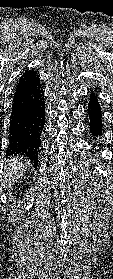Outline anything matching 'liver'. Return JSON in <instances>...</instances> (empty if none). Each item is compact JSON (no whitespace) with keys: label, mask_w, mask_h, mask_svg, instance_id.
<instances>
[{"label":"liver","mask_w":113,"mask_h":279,"mask_svg":"<svg viewBox=\"0 0 113 279\" xmlns=\"http://www.w3.org/2000/svg\"><path fill=\"white\" fill-rule=\"evenodd\" d=\"M27 159L13 157L6 161L3 175L0 176L1 188L10 187L19 180L29 167Z\"/></svg>","instance_id":"1"}]
</instances>
